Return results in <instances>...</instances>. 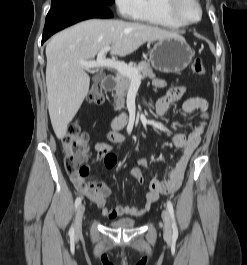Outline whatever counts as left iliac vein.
I'll return each mask as SVG.
<instances>
[{
  "instance_id": "obj_1",
  "label": "left iliac vein",
  "mask_w": 247,
  "mask_h": 265,
  "mask_svg": "<svg viewBox=\"0 0 247 265\" xmlns=\"http://www.w3.org/2000/svg\"><path fill=\"white\" fill-rule=\"evenodd\" d=\"M162 220H163L164 236L166 238H170L172 235L171 219L169 212L166 209L163 210L162 212Z\"/></svg>"
}]
</instances>
